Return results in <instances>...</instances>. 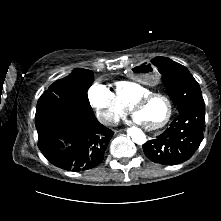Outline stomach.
<instances>
[{"mask_svg": "<svg viewBox=\"0 0 221 221\" xmlns=\"http://www.w3.org/2000/svg\"><path fill=\"white\" fill-rule=\"evenodd\" d=\"M131 77L137 83L154 85L160 79V72L156 67L151 66L148 61L139 60L131 70Z\"/></svg>", "mask_w": 221, "mask_h": 221, "instance_id": "0dacf381", "label": "stomach"}]
</instances>
